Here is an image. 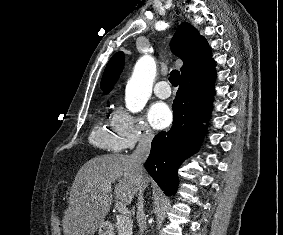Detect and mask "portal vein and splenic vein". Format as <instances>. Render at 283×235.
I'll return each mask as SVG.
<instances>
[{
    "label": "portal vein and splenic vein",
    "instance_id": "portal-vein-and-splenic-vein-1",
    "mask_svg": "<svg viewBox=\"0 0 283 235\" xmlns=\"http://www.w3.org/2000/svg\"><path fill=\"white\" fill-rule=\"evenodd\" d=\"M107 190H111V187L107 188ZM115 208L122 216H126L128 214V208L122 204L121 202L117 201L115 204Z\"/></svg>",
    "mask_w": 283,
    "mask_h": 235
}]
</instances>
